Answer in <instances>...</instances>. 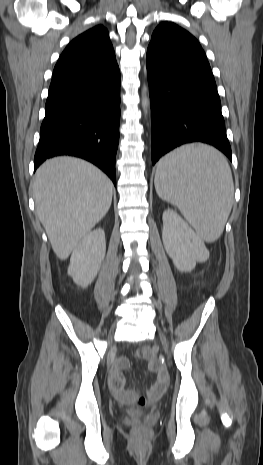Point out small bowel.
<instances>
[{
    "label": "small bowel",
    "mask_w": 263,
    "mask_h": 465,
    "mask_svg": "<svg viewBox=\"0 0 263 465\" xmlns=\"http://www.w3.org/2000/svg\"><path fill=\"white\" fill-rule=\"evenodd\" d=\"M128 366L129 360L126 357H120L114 362L109 375V387L114 396L122 402H127L137 397L134 392L125 389L123 370L128 368ZM156 372V380L148 389V394L151 396L155 394L160 395L165 390L168 381L167 373L163 369L156 368Z\"/></svg>",
    "instance_id": "c3829d8e"
}]
</instances>
